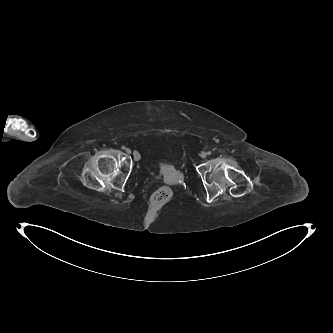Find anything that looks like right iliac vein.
Masks as SVG:
<instances>
[{"mask_svg":"<svg viewBox=\"0 0 333 333\" xmlns=\"http://www.w3.org/2000/svg\"><path fill=\"white\" fill-rule=\"evenodd\" d=\"M126 152H127L128 154H130V153H131V150H130L129 148H127V149H126ZM133 156H134V159H135V160H139L140 157H141L140 154H139L137 151H134Z\"/></svg>","mask_w":333,"mask_h":333,"instance_id":"right-iliac-vein-1","label":"right iliac vein"}]
</instances>
